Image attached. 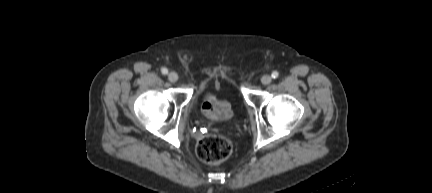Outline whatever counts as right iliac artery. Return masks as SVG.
Here are the masks:
<instances>
[{
  "label": "right iliac artery",
  "mask_w": 432,
  "mask_h": 193,
  "mask_svg": "<svg viewBox=\"0 0 432 193\" xmlns=\"http://www.w3.org/2000/svg\"><path fill=\"white\" fill-rule=\"evenodd\" d=\"M161 72H162V74H164V75L168 74V70H167L166 68H162Z\"/></svg>",
  "instance_id": "82829eb1"
}]
</instances>
